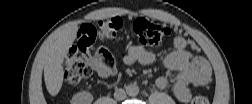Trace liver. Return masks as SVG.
Instances as JSON below:
<instances>
[{
    "label": "liver",
    "instance_id": "obj_1",
    "mask_svg": "<svg viewBox=\"0 0 252 104\" xmlns=\"http://www.w3.org/2000/svg\"><path fill=\"white\" fill-rule=\"evenodd\" d=\"M77 30V25H69L59 30L46 50L44 80L51 96H56L62 87L63 63L75 40Z\"/></svg>",
    "mask_w": 252,
    "mask_h": 104
}]
</instances>
